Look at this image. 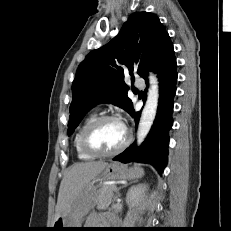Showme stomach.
<instances>
[{
  "mask_svg": "<svg viewBox=\"0 0 231 231\" xmlns=\"http://www.w3.org/2000/svg\"><path fill=\"white\" fill-rule=\"evenodd\" d=\"M144 171L139 166L128 168L126 165L113 162L106 166L91 184L84 187V189L75 197L66 215L59 217L53 224L54 231L77 230L69 228H82L83 217L93 209L97 204L98 187L94 185L95 182H102L104 180H127L140 178ZM68 228V229H67Z\"/></svg>",
  "mask_w": 231,
  "mask_h": 231,
  "instance_id": "stomach-1",
  "label": "stomach"
}]
</instances>
